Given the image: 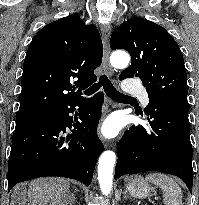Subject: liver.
Segmentation results:
<instances>
[{
    "mask_svg": "<svg viewBox=\"0 0 199 205\" xmlns=\"http://www.w3.org/2000/svg\"><path fill=\"white\" fill-rule=\"evenodd\" d=\"M70 183L62 178H40L29 184L27 195L20 197L24 203L30 205H71L74 200L73 194L69 192ZM13 198L16 197L20 186L16 187Z\"/></svg>",
    "mask_w": 199,
    "mask_h": 205,
    "instance_id": "6515ba94",
    "label": "liver"
}]
</instances>
